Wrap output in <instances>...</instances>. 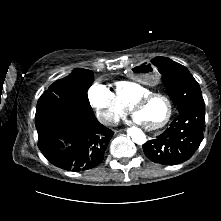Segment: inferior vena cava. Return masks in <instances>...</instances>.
Returning <instances> with one entry per match:
<instances>
[{"mask_svg": "<svg viewBox=\"0 0 221 221\" xmlns=\"http://www.w3.org/2000/svg\"><path fill=\"white\" fill-rule=\"evenodd\" d=\"M103 121L112 125L117 123V121L112 116L104 118Z\"/></svg>", "mask_w": 221, "mask_h": 221, "instance_id": "obj_1", "label": "inferior vena cava"}]
</instances>
